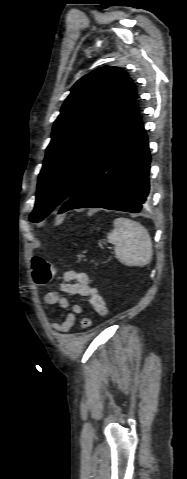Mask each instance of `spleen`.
Wrapping results in <instances>:
<instances>
[{"label":"spleen","mask_w":187,"mask_h":479,"mask_svg":"<svg viewBox=\"0 0 187 479\" xmlns=\"http://www.w3.org/2000/svg\"><path fill=\"white\" fill-rule=\"evenodd\" d=\"M113 226L107 240L115 245V257L127 266L149 264L153 250L148 230L139 222L123 217L115 219Z\"/></svg>","instance_id":"spleen-1"}]
</instances>
